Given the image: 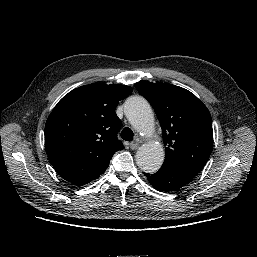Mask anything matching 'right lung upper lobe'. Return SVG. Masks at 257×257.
Instances as JSON below:
<instances>
[{
    "instance_id": "obj_1",
    "label": "right lung upper lobe",
    "mask_w": 257,
    "mask_h": 257,
    "mask_svg": "<svg viewBox=\"0 0 257 257\" xmlns=\"http://www.w3.org/2000/svg\"><path fill=\"white\" fill-rule=\"evenodd\" d=\"M132 87L95 83L65 95L45 125V147L56 172L74 185L95 180L111 157L124 149L117 133L121 120L115 109Z\"/></svg>"
}]
</instances>
